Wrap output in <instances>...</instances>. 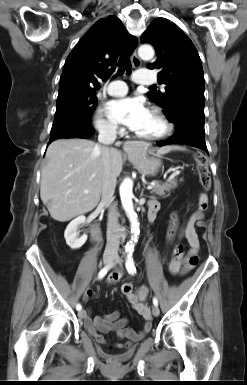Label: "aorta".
Returning <instances> with one entry per match:
<instances>
[{
  "instance_id": "aorta-1",
  "label": "aorta",
  "mask_w": 247,
  "mask_h": 385,
  "mask_svg": "<svg viewBox=\"0 0 247 385\" xmlns=\"http://www.w3.org/2000/svg\"><path fill=\"white\" fill-rule=\"evenodd\" d=\"M138 55L143 60H150L154 56V49L151 45H142L138 49ZM133 181L130 178H125L120 185V198L122 206L127 214V217L130 221L131 232L133 233L132 239L126 245L127 250H132L134 248V243L137 241L139 235V223L137 220V214L134 211L133 207Z\"/></svg>"
}]
</instances>
